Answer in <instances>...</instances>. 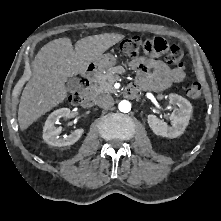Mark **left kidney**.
<instances>
[{
  "instance_id": "1",
  "label": "left kidney",
  "mask_w": 221,
  "mask_h": 221,
  "mask_svg": "<svg viewBox=\"0 0 221 221\" xmlns=\"http://www.w3.org/2000/svg\"><path fill=\"white\" fill-rule=\"evenodd\" d=\"M169 102L178 106V109H175L170 116L172 126H168L167 123L161 121L153 114L148 115L147 121L149 127L156 135L176 138L183 134L189 123L192 114V105L187 99L177 94H170Z\"/></svg>"
}]
</instances>
